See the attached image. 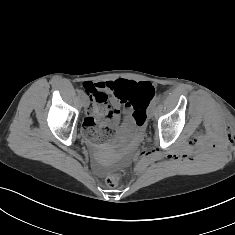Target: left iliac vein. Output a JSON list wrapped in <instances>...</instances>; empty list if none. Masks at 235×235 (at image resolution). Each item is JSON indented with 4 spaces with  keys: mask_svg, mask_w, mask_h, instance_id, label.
<instances>
[{
    "mask_svg": "<svg viewBox=\"0 0 235 235\" xmlns=\"http://www.w3.org/2000/svg\"><path fill=\"white\" fill-rule=\"evenodd\" d=\"M149 116H150V117L153 116V108H151V110L149 111Z\"/></svg>",
    "mask_w": 235,
    "mask_h": 235,
    "instance_id": "1",
    "label": "left iliac vein"
}]
</instances>
